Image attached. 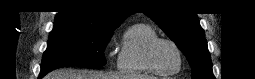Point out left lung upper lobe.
<instances>
[{
    "label": "left lung upper lobe",
    "mask_w": 255,
    "mask_h": 79,
    "mask_svg": "<svg viewBox=\"0 0 255 79\" xmlns=\"http://www.w3.org/2000/svg\"><path fill=\"white\" fill-rule=\"evenodd\" d=\"M145 12L187 57L193 79H214L203 29L195 13L176 11L169 1H151Z\"/></svg>",
    "instance_id": "5c2ea615"
}]
</instances>
